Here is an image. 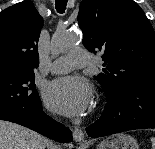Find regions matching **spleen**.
<instances>
[{
	"mask_svg": "<svg viewBox=\"0 0 155 149\" xmlns=\"http://www.w3.org/2000/svg\"><path fill=\"white\" fill-rule=\"evenodd\" d=\"M152 149H155V137H151Z\"/></svg>",
	"mask_w": 155,
	"mask_h": 149,
	"instance_id": "3e777b00",
	"label": "spleen"
}]
</instances>
